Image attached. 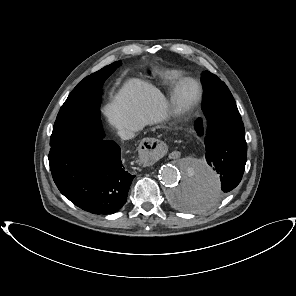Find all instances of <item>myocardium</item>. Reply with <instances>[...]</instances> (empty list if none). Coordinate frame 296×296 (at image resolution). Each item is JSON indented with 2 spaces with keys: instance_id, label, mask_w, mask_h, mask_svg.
<instances>
[{
  "instance_id": "myocardium-1",
  "label": "myocardium",
  "mask_w": 296,
  "mask_h": 296,
  "mask_svg": "<svg viewBox=\"0 0 296 296\" xmlns=\"http://www.w3.org/2000/svg\"><path fill=\"white\" fill-rule=\"evenodd\" d=\"M188 85H192L194 91L191 94L185 93V88ZM202 89L199 82L192 77H185L179 80L171 94L172 102L176 109L186 110L193 106L201 97Z\"/></svg>"
}]
</instances>
